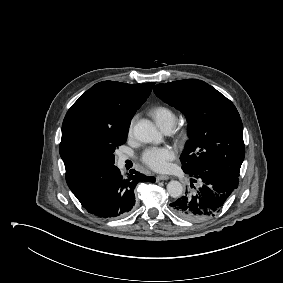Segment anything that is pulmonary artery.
Here are the masks:
<instances>
[{
  "label": "pulmonary artery",
  "mask_w": 283,
  "mask_h": 283,
  "mask_svg": "<svg viewBox=\"0 0 283 283\" xmlns=\"http://www.w3.org/2000/svg\"><path fill=\"white\" fill-rule=\"evenodd\" d=\"M173 127H174V125H172V124H167V125L163 126L161 129H162V131H163L164 133L168 134V133H170V132L172 131ZM126 160H127V156L121 155V156L118 158V164H119V165H123Z\"/></svg>",
  "instance_id": "pulmonary-artery-1"
}]
</instances>
